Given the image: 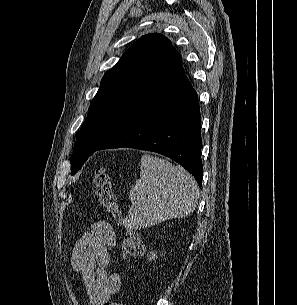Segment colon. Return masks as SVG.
Returning a JSON list of instances; mask_svg holds the SVG:
<instances>
[{
    "label": "colon",
    "instance_id": "obj_1",
    "mask_svg": "<svg viewBox=\"0 0 297 305\" xmlns=\"http://www.w3.org/2000/svg\"><path fill=\"white\" fill-rule=\"evenodd\" d=\"M94 194L98 200L99 205L113 216L120 215L119 205L117 203L116 194L114 192L113 184L111 181L108 170L99 166L94 174ZM144 252V242L142 237L134 231L125 233L121 255L125 259H137ZM106 305H123L119 301H108Z\"/></svg>",
    "mask_w": 297,
    "mask_h": 305
}]
</instances>
